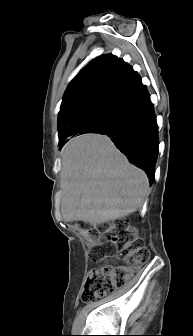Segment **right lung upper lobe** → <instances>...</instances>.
Segmentation results:
<instances>
[{
    "mask_svg": "<svg viewBox=\"0 0 193 336\" xmlns=\"http://www.w3.org/2000/svg\"><path fill=\"white\" fill-rule=\"evenodd\" d=\"M137 73L123 60L109 54L90 61L73 79L63 97L59 112V144L62 146L72 131L73 123L103 109H112Z\"/></svg>",
    "mask_w": 193,
    "mask_h": 336,
    "instance_id": "1",
    "label": "right lung upper lobe"
}]
</instances>
